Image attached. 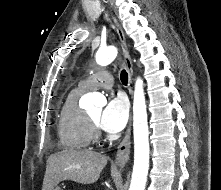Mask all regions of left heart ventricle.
<instances>
[{"label": "left heart ventricle", "instance_id": "b2bd125f", "mask_svg": "<svg viewBox=\"0 0 221 190\" xmlns=\"http://www.w3.org/2000/svg\"><path fill=\"white\" fill-rule=\"evenodd\" d=\"M101 114V109H96L91 112L90 117L97 123Z\"/></svg>", "mask_w": 221, "mask_h": 190}]
</instances>
